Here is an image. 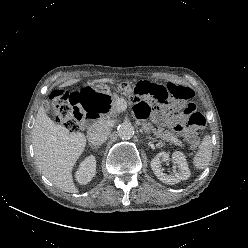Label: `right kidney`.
I'll return each mask as SVG.
<instances>
[{
	"label": "right kidney",
	"mask_w": 248,
	"mask_h": 248,
	"mask_svg": "<svg viewBox=\"0 0 248 248\" xmlns=\"http://www.w3.org/2000/svg\"><path fill=\"white\" fill-rule=\"evenodd\" d=\"M96 174V159L93 155L87 157L80 163L78 170L76 171V181L80 184L89 183Z\"/></svg>",
	"instance_id": "ca27d5eb"
}]
</instances>
